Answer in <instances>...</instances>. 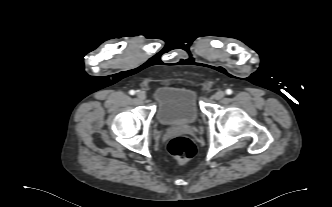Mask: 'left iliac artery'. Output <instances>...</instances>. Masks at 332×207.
<instances>
[{"label": "left iliac artery", "mask_w": 332, "mask_h": 207, "mask_svg": "<svg viewBox=\"0 0 332 207\" xmlns=\"http://www.w3.org/2000/svg\"><path fill=\"white\" fill-rule=\"evenodd\" d=\"M226 94L231 95L232 94V90L231 89H227L226 90Z\"/></svg>", "instance_id": "1"}]
</instances>
